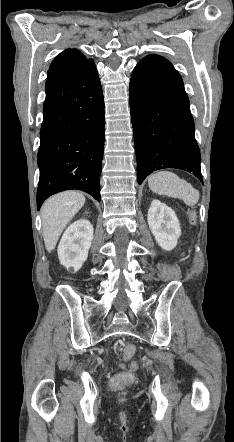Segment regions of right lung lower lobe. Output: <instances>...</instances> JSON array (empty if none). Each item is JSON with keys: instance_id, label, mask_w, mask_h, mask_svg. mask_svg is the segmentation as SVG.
<instances>
[{"instance_id": "1", "label": "right lung lower lobe", "mask_w": 234, "mask_h": 442, "mask_svg": "<svg viewBox=\"0 0 234 442\" xmlns=\"http://www.w3.org/2000/svg\"><path fill=\"white\" fill-rule=\"evenodd\" d=\"M104 99L95 64L71 78L47 80L40 132L37 207L69 189L100 201Z\"/></svg>"}]
</instances>
